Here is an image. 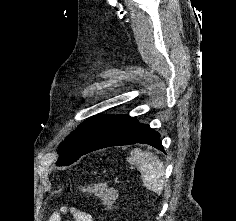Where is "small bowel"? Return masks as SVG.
<instances>
[{"label":"small bowel","instance_id":"small-bowel-1","mask_svg":"<svg viewBox=\"0 0 236 221\" xmlns=\"http://www.w3.org/2000/svg\"><path fill=\"white\" fill-rule=\"evenodd\" d=\"M66 213H70L74 221H95L94 217L89 212L65 205L60 206V208L51 215L49 221H61L62 214Z\"/></svg>","mask_w":236,"mask_h":221}]
</instances>
